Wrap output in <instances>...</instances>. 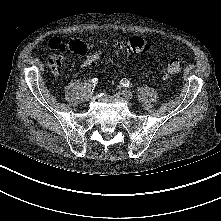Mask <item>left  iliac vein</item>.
Segmentation results:
<instances>
[{
	"label": "left iliac vein",
	"mask_w": 221,
	"mask_h": 221,
	"mask_svg": "<svg viewBox=\"0 0 221 221\" xmlns=\"http://www.w3.org/2000/svg\"><path fill=\"white\" fill-rule=\"evenodd\" d=\"M120 93L126 99H132L133 98V93L128 89L121 88Z\"/></svg>",
	"instance_id": "left-iliac-vein-1"
}]
</instances>
